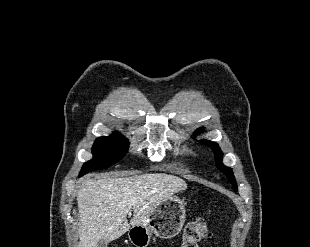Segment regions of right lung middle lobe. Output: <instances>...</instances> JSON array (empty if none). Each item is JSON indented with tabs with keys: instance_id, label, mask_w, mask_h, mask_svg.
<instances>
[{
	"instance_id": "obj_1",
	"label": "right lung middle lobe",
	"mask_w": 310,
	"mask_h": 247,
	"mask_svg": "<svg viewBox=\"0 0 310 247\" xmlns=\"http://www.w3.org/2000/svg\"><path fill=\"white\" fill-rule=\"evenodd\" d=\"M128 145V140L118 134L97 138L92 147L93 159L83 164L80 175L117 163L127 153Z\"/></svg>"
}]
</instances>
